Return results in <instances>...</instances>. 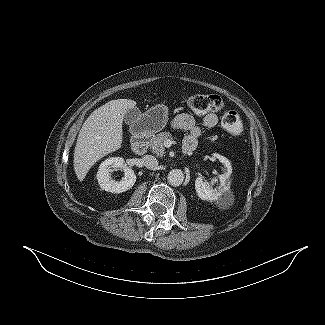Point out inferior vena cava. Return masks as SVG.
Instances as JSON below:
<instances>
[{
  "instance_id": "602c4592",
  "label": "inferior vena cava",
  "mask_w": 325,
  "mask_h": 325,
  "mask_svg": "<svg viewBox=\"0 0 325 325\" xmlns=\"http://www.w3.org/2000/svg\"><path fill=\"white\" fill-rule=\"evenodd\" d=\"M142 161L143 165L150 170H155L158 167V160L154 156L145 155Z\"/></svg>"
}]
</instances>
